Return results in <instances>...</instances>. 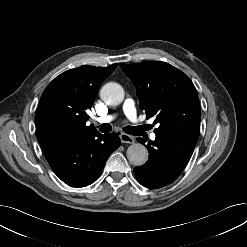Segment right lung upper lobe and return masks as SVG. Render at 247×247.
Returning <instances> with one entry per match:
<instances>
[{"mask_svg":"<svg viewBox=\"0 0 247 247\" xmlns=\"http://www.w3.org/2000/svg\"><path fill=\"white\" fill-rule=\"evenodd\" d=\"M84 65L57 76L43 92L35 114L36 137L44 155L66 136L86 137L99 132L86 126L101 83L116 69Z\"/></svg>","mask_w":247,"mask_h":247,"instance_id":"1","label":"right lung upper lobe"}]
</instances>
